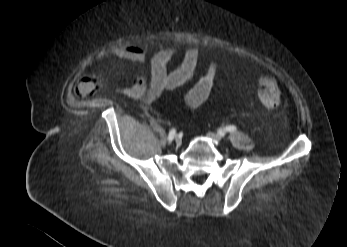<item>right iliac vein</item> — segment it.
<instances>
[{
    "mask_svg": "<svg viewBox=\"0 0 347 247\" xmlns=\"http://www.w3.org/2000/svg\"><path fill=\"white\" fill-rule=\"evenodd\" d=\"M181 141H182L181 137H180L179 135H176V136H175V142H176V144H180Z\"/></svg>",
    "mask_w": 347,
    "mask_h": 247,
    "instance_id": "63e3f726",
    "label": "right iliac vein"
}]
</instances>
